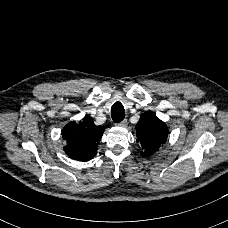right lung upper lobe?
<instances>
[{
	"label": "right lung upper lobe",
	"instance_id": "cb5924a9",
	"mask_svg": "<svg viewBox=\"0 0 228 228\" xmlns=\"http://www.w3.org/2000/svg\"><path fill=\"white\" fill-rule=\"evenodd\" d=\"M104 128L96 126L93 120L86 117L80 123L71 122L62 130L65 140V153L76 160L89 161L97 153Z\"/></svg>",
	"mask_w": 228,
	"mask_h": 228
}]
</instances>
